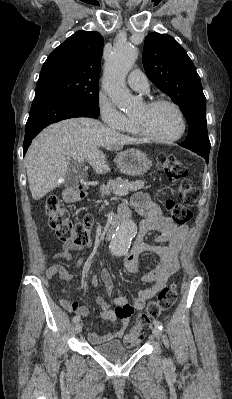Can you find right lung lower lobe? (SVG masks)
Returning <instances> with one entry per match:
<instances>
[{
  "label": "right lung lower lobe",
  "mask_w": 232,
  "mask_h": 399,
  "mask_svg": "<svg viewBox=\"0 0 232 399\" xmlns=\"http://www.w3.org/2000/svg\"><path fill=\"white\" fill-rule=\"evenodd\" d=\"M74 117L98 118L99 113L50 91H36L25 126L23 154L31 141L46 126Z\"/></svg>",
  "instance_id": "right-lung-lower-lobe-1"
}]
</instances>
